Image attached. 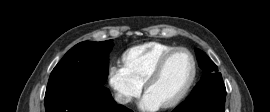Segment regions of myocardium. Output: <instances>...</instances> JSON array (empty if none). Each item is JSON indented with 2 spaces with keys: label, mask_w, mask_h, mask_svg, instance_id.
I'll return each instance as SVG.
<instances>
[{
  "label": "myocardium",
  "mask_w": 270,
  "mask_h": 112,
  "mask_svg": "<svg viewBox=\"0 0 270 112\" xmlns=\"http://www.w3.org/2000/svg\"><path fill=\"white\" fill-rule=\"evenodd\" d=\"M178 52H185L186 54H188V56L190 57L191 63H192V72H191V76L187 82V84L185 85V87L183 88V90L172 100L168 101L167 103L163 104L162 107L164 108H171L174 107L176 105H178L190 92V90L192 89L196 78H197V72H198V67H197V61L196 58L194 56V54L186 47H175L172 50L168 51L167 53H165L156 63V65L154 66V68L151 70V72L149 73L148 77L146 78L145 82H144V89L147 92L148 87L155 81L158 79V77L161 75L166 63L168 62V60L176 53Z\"/></svg>",
  "instance_id": "myocardium-1"
}]
</instances>
